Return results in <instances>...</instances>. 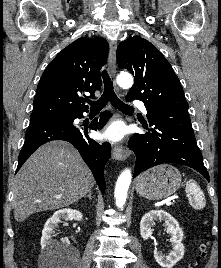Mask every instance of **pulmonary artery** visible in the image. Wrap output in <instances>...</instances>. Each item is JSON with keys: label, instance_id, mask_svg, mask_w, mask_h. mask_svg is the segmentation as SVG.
<instances>
[{"label": "pulmonary artery", "instance_id": "obj_1", "mask_svg": "<svg viewBox=\"0 0 221 268\" xmlns=\"http://www.w3.org/2000/svg\"><path fill=\"white\" fill-rule=\"evenodd\" d=\"M134 105L138 107L143 113H147V109L145 107V104L142 101H135Z\"/></svg>", "mask_w": 221, "mask_h": 268}]
</instances>
